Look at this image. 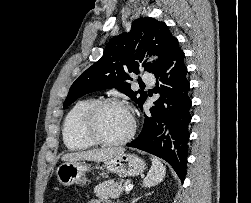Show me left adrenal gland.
I'll return each mask as SVG.
<instances>
[{
	"instance_id": "1",
	"label": "left adrenal gland",
	"mask_w": 251,
	"mask_h": 203,
	"mask_svg": "<svg viewBox=\"0 0 251 203\" xmlns=\"http://www.w3.org/2000/svg\"><path fill=\"white\" fill-rule=\"evenodd\" d=\"M149 194H145V196H148ZM142 197H138V198H136V199H133L132 200V203H135V202H137L138 200H140Z\"/></svg>"
}]
</instances>
